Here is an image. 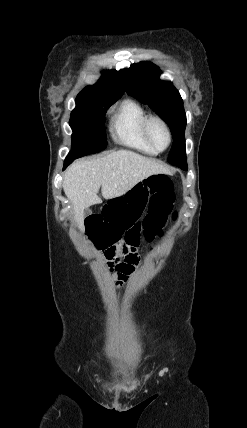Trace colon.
Segmentation results:
<instances>
[{"label": "colon", "instance_id": "colon-1", "mask_svg": "<svg viewBox=\"0 0 247 428\" xmlns=\"http://www.w3.org/2000/svg\"><path fill=\"white\" fill-rule=\"evenodd\" d=\"M174 199L173 181L167 176H151L128 195L116 194L109 204H101V212H89L83 241L90 243V250L102 247L110 268L119 250L138 263L136 250L141 236L152 240L161 234L167 216L173 211ZM122 232H125L123 237Z\"/></svg>", "mask_w": 247, "mask_h": 428}]
</instances>
